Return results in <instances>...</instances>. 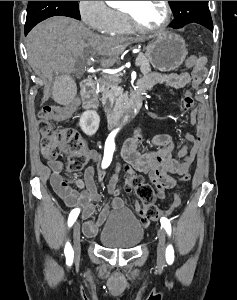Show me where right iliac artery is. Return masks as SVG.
Returning a JSON list of instances; mask_svg holds the SVG:
<instances>
[{"label":"right iliac artery","instance_id":"right-iliac-artery-1","mask_svg":"<svg viewBox=\"0 0 237 300\" xmlns=\"http://www.w3.org/2000/svg\"><path fill=\"white\" fill-rule=\"evenodd\" d=\"M116 133H117V131L111 132L105 142L102 168H107L112 161L113 152L115 150L114 138H115ZM79 213H80L79 208H75L71 211V213L69 214V218H68V226L69 227H71L73 225V223L76 221ZM64 253H65L67 260H69L72 263L74 252H73V249L69 242H67L65 245Z\"/></svg>","mask_w":237,"mask_h":300}]
</instances>
